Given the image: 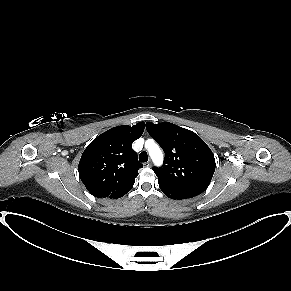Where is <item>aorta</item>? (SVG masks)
<instances>
[{
	"instance_id": "obj_1",
	"label": "aorta",
	"mask_w": 291,
	"mask_h": 291,
	"mask_svg": "<svg viewBox=\"0 0 291 291\" xmlns=\"http://www.w3.org/2000/svg\"><path fill=\"white\" fill-rule=\"evenodd\" d=\"M148 150H149V154H150L151 158L153 159L154 163L156 165H160L163 161V154H162V151L160 150L159 146L153 140H151V145L148 148Z\"/></svg>"
}]
</instances>
